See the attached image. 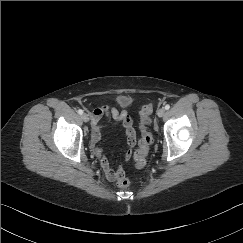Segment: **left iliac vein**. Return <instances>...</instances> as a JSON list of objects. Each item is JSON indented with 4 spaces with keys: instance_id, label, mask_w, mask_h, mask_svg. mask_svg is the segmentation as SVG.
<instances>
[{
    "instance_id": "left-iliac-vein-1",
    "label": "left iliac vein",
    "mask_w": 243,
    "mask_h": 243,
    "mask_svg": "<svg viewBox=\"0 0 243 243\" xmlns=\"http://www.w3.org/2000/svg\"><path fill=\"white\" fill-rule=\"evenodd\" d=\"M157 115H158L159 117H163V116L165 115V109H164V108H159V109L157 110Z\"/></svg>"
}]
</instances>
